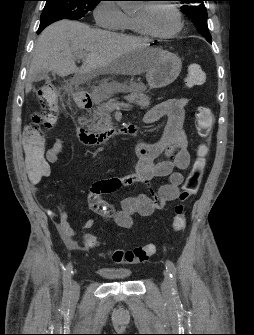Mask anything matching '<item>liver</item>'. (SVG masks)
Masks as SVG:
<instances>
[{
    "label": "liver",
    "instance_id": "6515ba94",
    "mask_svg": "<svg viewBox=\"0 0 254 335\" xmlns=\"http://www.w3.org/2000/svg\"><path fill=\"white\" fill-rule=\"evenodd\" d=\"M148 44L145 39L94 29L77 21L55 22L37 39L26 91L32 89L38 73L49 71L61 77L76 74L82 81H90L101 74L140 75L154 62ZM77 53L85 54L80 68L74 60Z\"/></svg>",
    "mask_w": 254,
    "mask_h": 335
}]
</instances>
